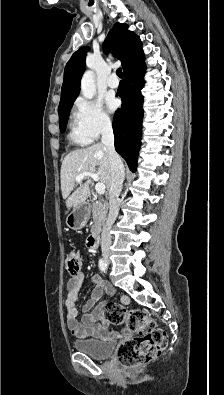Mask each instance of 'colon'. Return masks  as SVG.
Wrapping results in <instances>:
<instances>
[{
    "label": "colon",
    "instance_id": "1",
    "mask_svg": "<svg viewBox=\"0 0 224 395\" xmlns=\"http://www.w3.org/2000/svg\"><path fill=\"white\" fill-rule=\"evenodd\" d=\"M67 270L78 274L82 265V257L77 251H70L66 256ZM105 319L114 325H125L136 336L123 342L117 350V359L128 367L145 365L164 350L167 343L166 332L158 327L143 311L128 310L118 303H107L104 307Z\"/></svg>",
    "mask_w": 224,
    "mask_h": 395
}]
</instances>
